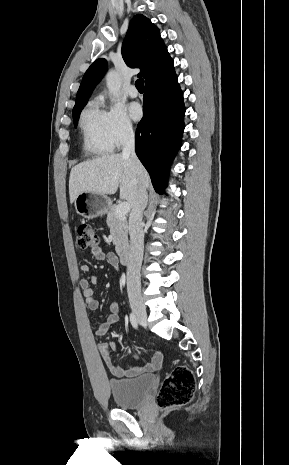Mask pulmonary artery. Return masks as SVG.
Wrapping results in <instances>:
<instances>
[{
  "instance_id": "pulmonary-artery-1",
  "label": "pulmonary artery",
  "mask_w": 289,
  "mask_h": 465,
  "mask_svg": "<svg viewBox=\"0 0 289 465\" xmlns=\"http://www.w3.org/2000/svg\"><path fill=\"white\" fill-rule=\"evenodd\" d=\"M128 94L130 97L132 98H136L139 94L138 90L136 89V87L134 85H131L129 88H128Z\"/></svg>"
}]
</instances>
